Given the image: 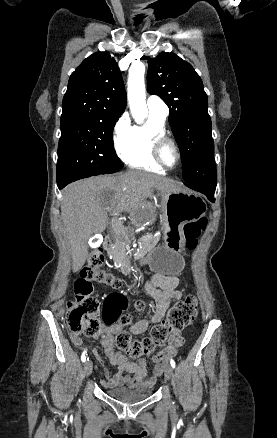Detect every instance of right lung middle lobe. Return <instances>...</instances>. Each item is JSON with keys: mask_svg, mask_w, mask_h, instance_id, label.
Here are the masks:
<instances>
[{"mask_svg": "<svg viewBox=\"0 0 277 438\" xmlns=\"http://www.w3.org/2000/svg\"><path fill=\"white\" fill-rule=\"evenodd\" d=\"M116 121L85 117L61 118L57 183L115 173L123 167L113 146Z\"/></svg>", "mask_w": 277, "mask_h": 438, "instance_id": "right-lung-middle-lobe-1", "label": "right lung middle lobe"}]
</instances>
